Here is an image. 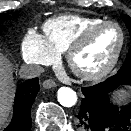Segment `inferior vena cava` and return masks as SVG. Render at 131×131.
Masks as SVG:
<instances>
[{"label":"inferior vena cava","mask_w":131,"mask_h":131,"mask_svg":"<svg viewBox=\"0 0 131 131\" xmlns=\"http://www.w3.org/2000/svg\"><path fill=\"white\" fill-rule=\"evenodd\" d=\"M43 71H44L43 67L39 65L29 64L21 66L19 74L22 78L31 79L40 76V74Z\"/></svg>","instance_id":"1"}]
</instances>
